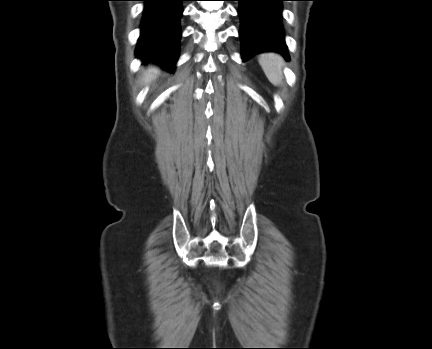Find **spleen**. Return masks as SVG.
<instances>
[{
  "mask_svg": "<svg viewBox=\"0 0 432 349\" xmlns=\"http://www.w3.org/2000/svg\"><path fill=\"white\" fill-rule=\"evenodd\" d=\"M258 62L270 83L279 86L283 79L284 59L276 53H263L259 56Z\"/></svg>",
  "mask_w": 432,
  "mask_h": 349,
  "instance_id": "1",
  "label": "spleen"
}]
</instances>
